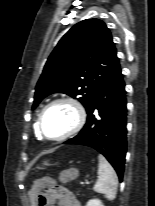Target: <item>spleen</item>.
Instances as JSON below:
<instances>
[{
  "label": "spleen",
  "instance_id": "spleen-1",
  "mask_svg": "<svg viewBox=\"0 0 155 206\" xmlns=\"http://www.w3.org/2000/svg\"><path fill=\"white\" fill-rule=\"evenodd\" d=\"M98 180L93 189L95 192L103 194L108 200L115 199L118 185V178L110 163L102 155L98 156Z\"/></svg>",
  "mask_w": 155,
  "mask_h": 206
}]
</instances>
